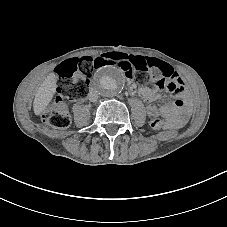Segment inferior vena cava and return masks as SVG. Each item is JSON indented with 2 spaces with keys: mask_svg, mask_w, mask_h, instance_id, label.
Segmentation results:
<instances>
[{
  "mask_svg": "<svg viewBox=\"0 0 227 227\" xmlns=\"http://www.w3.org/2000/svg\"><path fill=\"white\" fill-rule=\"evenodd\" d=\"M98 97H99V94L96 90H94V89L89 90V94H88L89 101L95 102L98 100Z\"/></svg>",
  "mask_w": 227,
  "mask_h": 227,
  "instance_id": "inferior-vena-cava-1",
  "label": "inferior vena cava"
}]
</instances>
